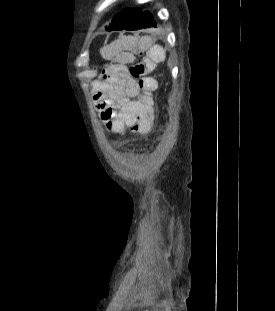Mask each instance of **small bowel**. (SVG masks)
<instances>
[{
    "instance_id": "1",
    "label": "small bowel",
    "mask_w": 275,
    "mask_h": 311,
    "mask_svg": "<svg viewBox=\"0 0 275 311\" xmlns=\"http://www.w3.org/2000/svg\"><path fill=\"white\" fill-rule=\"evenodd\" d=\"M140 40L121 37L101 50L102 57L110 63L103 79L92 85V93L103 120L127 118V128H131L133 133H152L154 101L140 94L138 81L130 75L129 65L135 57H152L155 64L169 62L170 58L168 51L153 44L149 36ZM154 82L157 83L156 80ZM116 132L124 133L125 130Z\"/></svg>"
}]
</instances>
